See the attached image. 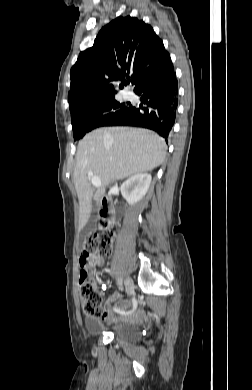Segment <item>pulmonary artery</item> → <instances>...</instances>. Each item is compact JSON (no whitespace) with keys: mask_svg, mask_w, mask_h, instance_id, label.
I'll return each instance as SVG.
<instances>
[{"mask_svg":"<svg viewBox=\"0 0 252 390\" xmlns=\"http://www.w3.org/2000/svg\"><path fill=\"white\" fill-rule=\"evenodd\" d=\"M126 99L133 100L135 98V94L132 91L125 92Z\"/></svg>","mask_w":252,"mask_h":390,"instance_id":"pulmonary-artery-1","label":"pulmonary artery"}]
</instances>
